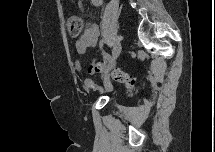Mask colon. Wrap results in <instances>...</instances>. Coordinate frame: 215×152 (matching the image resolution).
<instances>
[{"instance_id": "5ec220e1", "label": "colon", "mask_w": 215, "mask_h": 152, "mask_svg": "<svg viewBox=\"0 0 215 152\" xmlns=\"http://www.w3.org/2000/svg\"><path fill=\"white\" fill-rule=\"evenodd\" d=\"M84 22L82 18L71 15L67 19V28L72 37H77L83 30ZM88 72L91 74H106L108 73L113 80L124 84L129 89L136 88L135 80L127 73L120 69H110L106 62H92L88 67Z\"/></svg>"}]
</instances>
